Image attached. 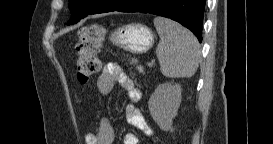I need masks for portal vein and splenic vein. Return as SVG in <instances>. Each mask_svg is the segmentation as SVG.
Segmentation results:
<instances>
[{"label":"portal vein and splenic vein","mask_w":273,"mask_h":144,"mask_svg":"<svg viewBox=\"0 0 273 144\" xmlns=\"http://www.w3.org/2000/svg\"><path fill=\"white\" fill-rule=\"evenodd\" d=\"M153 65V63L151 62V63H149V66L151 67Z\"/></svg>","instance_id":"1"}]
</instances>
